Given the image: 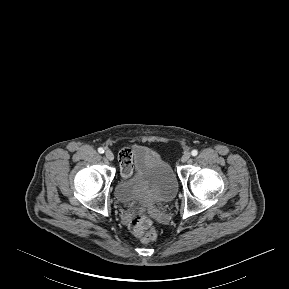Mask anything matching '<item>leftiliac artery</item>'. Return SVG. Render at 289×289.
Segmentation results:
<instances>
[{
  "label": "left iliac artery",
  "mask_w": 289,
  "mask_h": 289,
  "mask_svg": "<svg viewBox=\"0 0 289 289\" xmlns=\"http://www.w3.org/2000/svg\"><path fill=\"white\" fill-rule=\"evenodd\" d=\"M198 154V151L196 149L192 150L191 155L196 156Z\"/></svg>",
  "instance_id": "44dca946"
}]
</instances>
